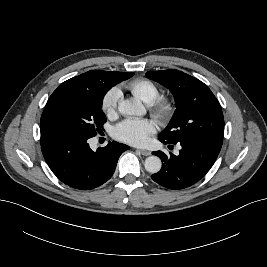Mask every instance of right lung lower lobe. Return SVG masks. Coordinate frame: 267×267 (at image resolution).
Instances as JSON below:
<instances>
[{
	"instance_id": "obj_1",
	"label": "right lung lower lobe",
	"mask_w": 267,
	"mask_h": 267,
	"mask_svg": "<svg viewBox=\"0 0 267 267\" xmlns=\"http://www.w3.org/2000/svg\"><path fill=\"white\" fill-rule=\"evenodd\" d=\"M89 137L51 125H41V149L52 172L64 184L80 190L94 189L108 181L120 155L129 146L109 142L92 151Z\"/></svg>"
}]
</instances>
